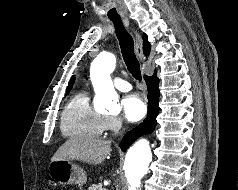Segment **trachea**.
Here are the masks:
<instances>
[{
    "instance_id": "obj_1",
    "label": "trachea",
    "mask_w": 238,
    "mask_h": 190,
    "mask_svg": "<svg viewBox=\"0 0 238 190\" xmlns=\"http://www.w3.org/2000/svg\"><path fill=\"white\" fill-rule=\"evenodd\" d=\"M119 40L123 59L128 71L138 80H141L140 64L134 52V41L132 36L124 28L120 18H111Z\"/></svg>"
}]
</instances>
